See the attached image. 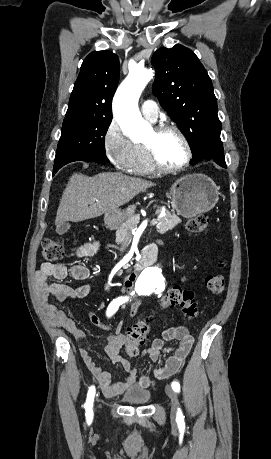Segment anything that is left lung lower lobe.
Instances as JSON below:
<instances>
[{"label": "left lung lower lobe", "instance_id": "1", "mask_svg": "<svg viewBox=\"0 0 271 459\" xmlns=\"http://www.w3.org/2000/svg\"><path fill=\"white\" fill-rule=\"evenodd\" d=\"M214 141L216 142V150L213 152L209 153L206 157H204L201 161H210L213 160L215 161L218 165L221 167L227 168L226 163H225V158H224V151H223V146L222 142L220 139V136H216L214 138ZM194 165V164H192Z\"/></svg>", "mask_w": 271, "mask_h": 459}]
</instances>
